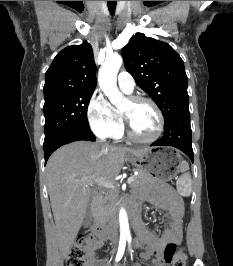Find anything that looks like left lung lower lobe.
<instances>
[{
    "label": "left lung lower lobe",
    "instance_id": "0a47b994",
    "mask_svg": "<svg viewBox=\"0 0 233 266\" xmlns=\"http://www.w3.org/2000/svg\"><path fill=\"white\" fill-rule=\"evenodd\" d=\"M151 146H173L184 152L193 162L191 143V126L189 107H183L175 112L164 126L163 137Z\"/></svg>",
    "mask_w": 233,
    "mask_h": 266
}]
</instances>
